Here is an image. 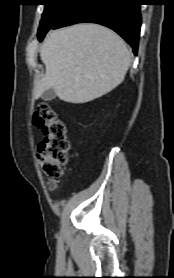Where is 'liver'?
Returning a JSON list of instances; mask_svg holds the SVG:
<instances>
[{"instance_id":"liver-1","label":"liver","mask_w":174,"mask_h":278,"mask_svg":"<svg viewBox=\"0 0 174 278\" xmlns=\"http://www.w3.org/2000/svg\"><path fill=\"white\" fill-rule=\"evenodd\" d=\"M45 74L33 97L53 88L60 100L86 103L116 88L125 78L131 54L114 31L93 23L52 31L40 49Z\"/></svg>"}]
</instances>
